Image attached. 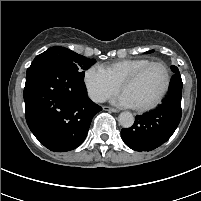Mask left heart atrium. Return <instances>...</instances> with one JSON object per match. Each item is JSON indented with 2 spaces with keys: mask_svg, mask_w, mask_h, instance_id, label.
I'll use <instances>...</instances> for the list:
<instances>
[{
  "mask_svg": "<svg viewBox=\"0 0 201 201\" xmlns=\"http://www.w3.org/2000/svg\"><path fill=\"white\" fill-rule=\"evenodd\" d=\"M113 102L120 106L133 107L131 100L124 93H122L119 96H117L116 98H114Z\"/></svg>",
  "mask_w": 201,
  "mask_h": 201,
  "instance_id": "left-heart-atrium-1",
  "label": "left heart atrium"
}]
</instances>
